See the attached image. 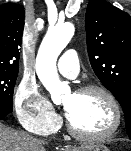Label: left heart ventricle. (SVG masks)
Here are the masks:
<instances>
[{
	"label": "left heart ventricle",
	"mask_w": 131,
	"mask_h": 151,
	"mask_svg": "<svg viewBox=\"0 0 131 151\" xmlns=\"http://www.w3.org/2000/svg\"><path fill=\"white\" fill-rule=\"evenodd\" d=\"M63 105L72 124L81 132L101 134L114 122L110 103L99 93H70L64 98Z\"/></svg>",
	"instance_id": "obj_1"
}]
</instances>
